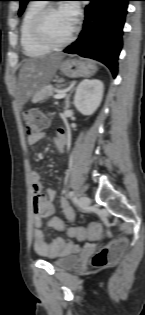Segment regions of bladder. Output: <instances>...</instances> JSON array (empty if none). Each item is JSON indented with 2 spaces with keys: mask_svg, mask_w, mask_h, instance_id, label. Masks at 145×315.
I'll use <instances>...</instances> for the list:
<instances>
[{
  "mask_svg": "<svg viewBox=\"0 0 145 315\" xmlns=\"http://www.w3.org/2000/svg\"><path fill=\"white\" fill-rule=\"evenodd\" d=\"M51 264L58 269H69L78 265L79 258L76 253H67L63 256L50 259Z\"/></svg>",
  "mask_w": 145,
  "mask_h": 315,
  "instance_id": "1",
  "label": "bladder"
}]
</instances>
